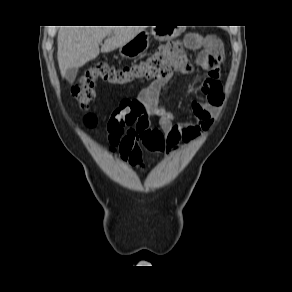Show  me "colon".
<instances>
[{"instance_id":"colon-1","label":"colon","mask_w":292,"mask_h":292,"mask_svg":"<svg viewBox=\"0 0 292 292\" xmlns=\"http://www.w3.org/2000/svg\"><path fill=\"white\" fill-rule=\"evenodd\" d=\"M188 42L196 46L199 38L191 35ZM184 65L182 47L172 42L159 47L152 55L139 64L132 66H115L101 62L87 69L72 86L71 92L79 106L86 109L96 99L94 86L98 80L123 87L137 80H153V84L138 97L125 99L112 112L107 123V138L113 151L119 144L125 129L134 125L141 131L142 145L149 154H157L163 148V135L152 126V120L161 112L160 89L155 83L175 68ZM86 126L92 128L96 118L88 114L84 118Z\"/></svg>"}]
</instances>
